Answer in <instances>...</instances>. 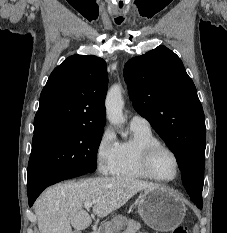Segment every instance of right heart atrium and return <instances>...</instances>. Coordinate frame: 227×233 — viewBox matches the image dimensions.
Returning <instances> with one entry per match:
<instances>
[{"label":"right heart atrium","mask_w":227,"mask_h":233,"mask_svg":"<svg viewBox=\"0 0 227 233\" xmlns=\"http://www.w3.org/2000/svg\"><path fill=\"white\" fill-rule=\"evenodd\" d=\"M119 156V143L110 127H105L95 145L94 157L98 171L103 175L114 174Z\"/></svg>","instance_id":"1"}]
</instances>
